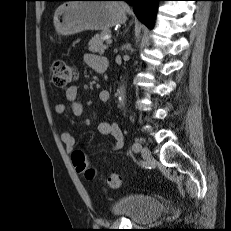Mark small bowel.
I'll return each instance as SVG.
<instances>
[{
    "mask_svg": "<svg viewBox=\"0 0 231 231\" xmlns=\"http://www.w3.org/2000/svg\"><path fill=\"white\" fill-rule=\"evenodd\" d=\"M87 65L96 71L99 65L107 64V60L103 57L88 54L85 57ZM65 97L67 101L71 103V113L75 117H81L84 113L82 104L78 101V88L76 86H70L65 90ZM110 93L107 90H102L99 93V99L103 104H108L110 102ZM67 111V104L64 102H59L55 106V112L57 114H64ZM97 130L103 135L111 136L113 140V149L119 150L123 147L124 138L122 131L117 123L101 121L97 125ZM61 140L67 151L71 152L75 146V138L73 134L69 131L62 132Z\"/></svg>",
    "mask_w": 231,
    "mask_h": 231,
    "instance_id": "c3829d8e",
    "label": "small bowel"
}]
</instances>
